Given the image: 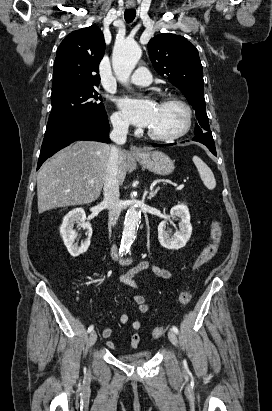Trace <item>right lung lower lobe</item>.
Segmentation results:
<instances>
[{
	"mask_svg": "<svg viewBox=\"0 0 272 411\" xmlns=\"http://www.w3.org/2000/svg\"><path fill=\"white\" fill-rule=\"evenodd\" d=\"M109 130L107 115L76 116L47 126L37 169L46 159L76 140L108 141Z\"/></svg>",
	"mask_w": 272,
	"mask_h": 411,
	"instance_id": "1",
	"label": "right lung lower lobe"
}]
</instances>
